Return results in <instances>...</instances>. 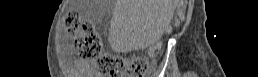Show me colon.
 Here are the masks:
<instances>
[{
	"mask_svg": "<svg viewBox=\"0 0 258 77\" xmlns=\"http://www.w3.org/2000/svg\"><path fill=\"white\" fill-rule=\"evenodd\" d=\"M65 25L68 33L75 37L74 48L77 55L82 59L95 61L97 72L116 75L127 71L136 77L147 72L148 64L144 59H125L103 53L99 34L91 23L80 21L77 13H68L65 16Z\"/></svg>",
	"mask_w": 258,
	"mask_h": 77,
	"instance_id": "1",
	"label": "colon"
}]
</instances>
